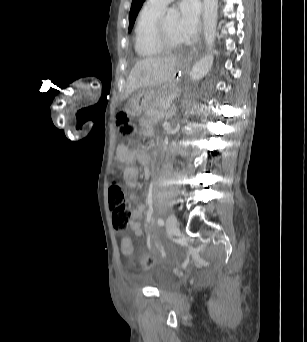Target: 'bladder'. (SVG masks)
<instances>
[{"label": "bladder", "mask_w": 307, "mask_h": 342, "mask_svg": "<svg viewBox=\"0 0 307 342\" xmlns=\"http://www.w3.org/2000/svg\"><path fill=\"white\" fill-rule=\"evenodd\" d=\"M147 284L157 290L165 291L175 285V278L169 273L158 272L148 280Z\"/></svg>", "instance_id": "1"}]
</instances>
